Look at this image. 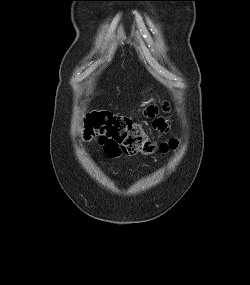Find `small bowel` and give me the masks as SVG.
<instances>
[{"mask_svg": "<svg viewBox=\"0 0 250 285\" xmlns=\"http://www.w3.org/2000/svg\"><path fill=\"white\" fill-rule=\"evenodd\" d=\"M149 115L150 116H153L154 115V110L153 109H150L149 110ZM156 126H158L159 128H162L163 127V123L161 121H156Z\"/></svg>", "mask_w": 250, "mask_h": 285, "instance_id": "c3829d8e", "label": "small bowel"}]
</instances>
